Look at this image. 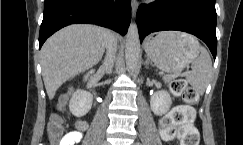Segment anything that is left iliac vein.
Wrapping results in <instances>:
<instances>
[{"mask_svg": "<svg viewBox=\"0 0 243 145\" xmlns=\"http://www.w3.org/2000/svg\"><path fill=\"white\" fill-rule=\"evenodd\" d=\"M133 145H139V143L135 142V143H133Z\"/></svg>", "mask_w": 243, "mask_h": 145, "instance_id": "1", "label": "left iliac vein"}]
</instances>
